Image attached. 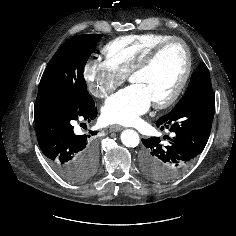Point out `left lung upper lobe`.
I'll use <instances>...</instances> for the list:
<instances>
[{"mask_svg": "<svg viewBox=\"0 0 236 236\" xmlns=\"http://www.w3.org/2000/svg\"><path fill=\"white\" fill-rule=\"evenodd\" d=\"M210 81L211 79L209 71L206 65L204 63H201L200 66L192 74L189 86L183 98L178 102V104L174 107V109L170 113L180 109L186 102H188L192 97H194L202 90L210 88L211 87Z\"/></svg>", "mask_w": 236, "mask_h": 236, "instance_id": "1", "label": "left lung upper lobe"}]
</instances>
